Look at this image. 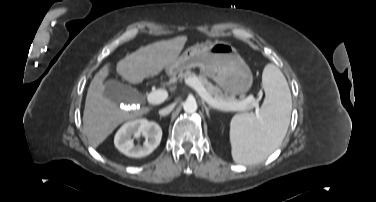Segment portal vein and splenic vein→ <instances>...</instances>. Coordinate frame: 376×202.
<instances>
[{"instance_id":"portal-vein-and-splenic-vein-1","label":"portal vein and splenic vein","mask_w":376,"mask_h":202,"mask_svg":"<svg viewBox=\"0 0 376 202\" xmlns=\"http://www.w3.org/2000/svg\"><path fill=\"white\" fill-rule=\"evenodd\" d=\"M186 83L191 86L200 96L202 100L208 103L211 107L221 111H244L246 110L245 104L253 102L255 105V98L253 96L247 97L244 102H220L210 95L204 86L196 79L189 78ZM168 97V92L164 89L154 90L147 95V100L151 104H160Z\"/></svg>"}]
</instances>
